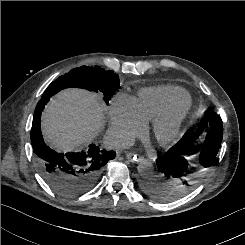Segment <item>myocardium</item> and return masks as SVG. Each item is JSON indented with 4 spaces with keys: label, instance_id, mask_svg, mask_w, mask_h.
Segmentation results:
<instances>
[{
    "label": "myocardium",
    "instance_id": "obj_1",
    "mask_svg": "<svg viewBox=\"0 0 245 245\" xmlns=\"http://www.w3.org/2000/svg\"><path fill=\"white\" fill-rule=\"evenodd\" d=\"M190 108V104L187 103L153 121L152 134L159 144L167 145L177 138L189 114Z\"/></svg>",
    "mask_w": 245,
    "mask_h": 245
}]
</instances>
